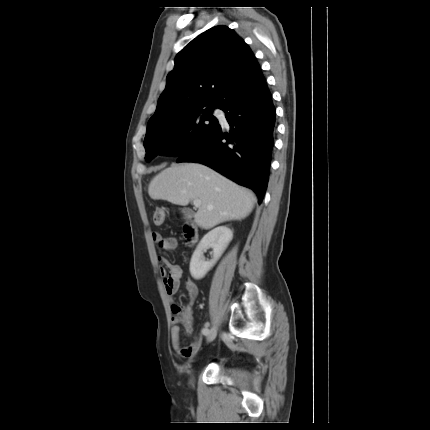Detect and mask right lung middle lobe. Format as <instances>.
<instances>
[{
    "mask_svg": "<svg viewBox=\"0 0 430 430\" xmlns=\"http://www.w3.org/2000/svg\"><path fill=\"white\" fill-rule=\"evenodd\" d=\"M215 107L218 106L193 108L147 127L144 140L146 161L157 154L179 158L196 150L219 126L211 114Z\"/></svg>",
    "mask_w": 430,
    "mask_h": 430,
    "instance_id": "1",
    "label": "right lung middle lobe"
}]
</instances>
